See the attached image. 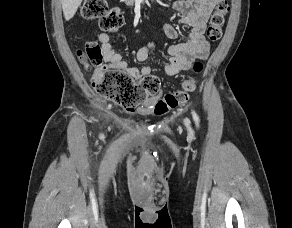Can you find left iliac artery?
<instances>
[{"label":"left iliac artery","mask_w":292,"mask_h":228,"mask_svg":"<svg viewBox=\"0 0 292 228\" xmlns=\"http://www.w3.org/2000/svg\"><path fill=\"white\" fill-rule=\"evenodd\" d=\"M192 116H193V119H194L196 125L199 126V118L194 110H192Z\"/></svg>","instance_id":"44dca946"}]
</instances>
